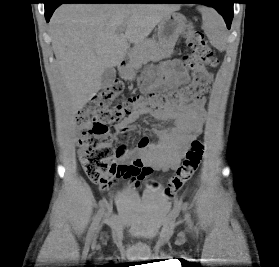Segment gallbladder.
<instances>
[{
	"instance_id": "bac80fb5",
	"label": "gallbladder",
	"mask_w": 279,
	"mask_h": 267,
	"mask_svg": "<svg viewBox=\"0 0 279 267\" xmlns=\"http://www.w3.org/2000/svg\"><path fill=\"white\" fill-rule=\"evenodd\" d=\"M115 78H116V72L113 68L105 69L101 76V87L103 89L112 87Z\"/></svg>"
}]
</instances>
